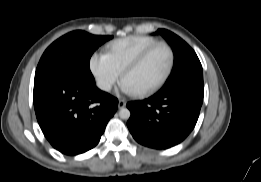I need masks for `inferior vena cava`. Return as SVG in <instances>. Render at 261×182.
<instances>
[{"label": "inferior vena cava", "instance_id": "inferior-vena-cava-1", "mask_svg": "<svg viewBox=\"0 0 261 182\" xmlns=\"http://www.w3.org/2000/svg\"><path fill=\"white\" fill-rule=\"evenodd\" d=\"M98 87L104 91L111 90V84L109 82H99Z\"/></svg>", "mask_w": 261, "mask_h": 182}]
</instances>
